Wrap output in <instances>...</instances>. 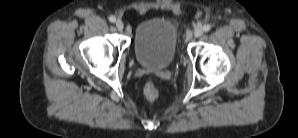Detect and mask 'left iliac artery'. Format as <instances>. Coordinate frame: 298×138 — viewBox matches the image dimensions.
<instances>
[{
	"label": "left iliac artery",
	"instance_id": "44dca946",
	"mask_svg": "<svg viewBox=\"0 0 298 138\" xmlns=\"http://www.w3.org/2000/svg\"><path fill=\"white\" fill-rule=\"evenodd\" d=\"M211 29V26L209 24H206L203 26V31L208 32Z\"/></svg>",
	"mask_w": 298,
	"mask_h": 138
}]
</instances>
